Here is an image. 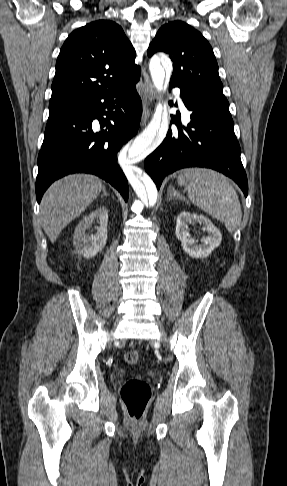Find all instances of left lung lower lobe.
Masks as SVG:
<instances>
[{"label": "left lung lower lobe", "mask_w": 287, "mask_h": 486, "mask_svg": "<svg viewBox=\"0 0 287 486\" xmlns=\"http://www.w3.org/2000/svg\"><path fill=\"white\" fill-rule=\"evenodd\" d=\"M181 89V98L192 112L191 122L182 130L180 119L171 123L162 144L145 160V170L160 188L163 178L186 167H207L232 178L248 195L247 176L240 159V146L234 134L232 118L226 117L203 102L189 88L170 83ZM180 115V113H178Z\"/></svg>", "instance_id": "0a47b994"}]
</instances>
